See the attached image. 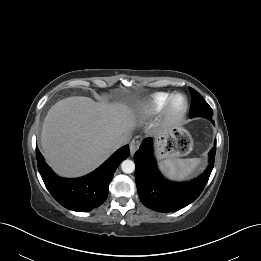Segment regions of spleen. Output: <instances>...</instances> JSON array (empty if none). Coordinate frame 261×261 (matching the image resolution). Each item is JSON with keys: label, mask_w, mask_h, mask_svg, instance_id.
Here are the masks:
<instances>
[{"label": "spleen", "mask_w": 261, "mask_h": 261, "mask_svg": "<svg viewBox=\"0 0 261 261\" xmlns=\"http://www.w3.org/2000/svg\"><path fill=\"white\" fill-rule=\"evenodd\" d=\"M198 158L166 159L159 164L161 171L171 179H184L198 166Z\"/></svg>", "instance_id": "3e777b00"}]
</instances>
